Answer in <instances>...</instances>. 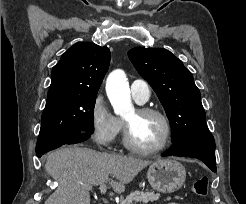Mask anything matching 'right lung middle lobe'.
Listing matches in <instances>:
<instances>
[{
	"label": "right lung middle lobe",
	"mask_w": 246,
	"mask_h": 204,
	"mask_svg": "<svg viewBox=\"0 0 246 204\" xmlns=\"http://www.w3.org/2000/svg\"><path fill=\"white\" fill-rule=\"evenodd\" d=\"M95 98L96 94L70 95L47 101L36 145L37 156L66 144L79 134H92Z\"/></svg>",
	"instance_id": "dd1d6c3e"
}]
</instances>
